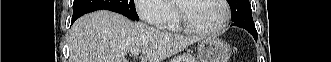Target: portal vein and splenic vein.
<instances>
[{"label": "portal vein and splenic vein", "mask_w": 331, "mask_h": 62, "mask_svg": "<svg viewBox=\"0 0 331 62\" xmlns=\"http://www.w3.org/2000/svg\"><path fill=\"white\" fill-rule=\"evenodd\" d=\"M140 51H141V49L134 48V49H131V54L138 55ZM177 61H180V59H177Z\"/></svg>", "instance_id": "18ae733b"}]
</instances>
